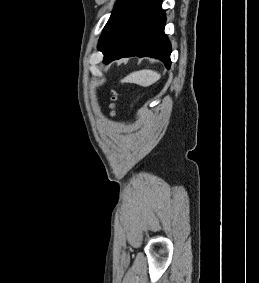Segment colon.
<instances>
[{
  "instance_id": "1",
  "label": "colon",
  "mask_w": 259,
  "mask_h": 283,
  "mask_svg": "<svg viewBox=\"0 0 259 283\" xmlns=\"http://www.w3.org/2000/svg\"><path fill=\"white\" fill-rule=\"evenodd\" d=\"M114 100H115V97H114V94L112 93L110 97V104H109L111 115H114Z\"/></svg>"
}]
</instances>
